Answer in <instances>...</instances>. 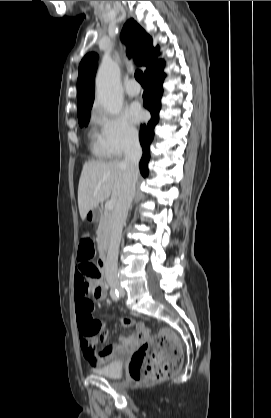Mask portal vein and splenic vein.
<instances>
[{
  "mask_svg": "<svg viewBox=\"0 0 271 418\" xmlns=\"http://www.w3.org/2000/svg\"><path fill=\"white\" fill-rule=\"evenodd\" d=\"M114 206H115V201L110 200V201H108V202L105 204V209H106L107 211H110V210H112V209L114 208Z\"/></svg>",
  "mask_w": 271,
  "mask_h": 418,
  "instance_id": "1",
  "label": "portal vein and splenic vein"
}]
</instances>
